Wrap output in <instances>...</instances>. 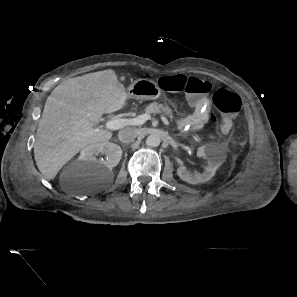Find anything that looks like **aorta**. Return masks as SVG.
Returning <instances> with one entry per match:
<instances>
[{
    "label": "aorta",
    "instance_id": "1",
    "mask_svg": "<svg viewBox=\"0 0 297 297\" xmlns=\"http://www.w3.org/2000/svg\"><path fill=\"white\" fill-rule=\"evenodd\" d=\"M161 143V138L157 134H151L146 139V144L150 147H157Z\"/></svg>",
    "mask_w": 297,
    "mask_h": 297
}]
</instances>
